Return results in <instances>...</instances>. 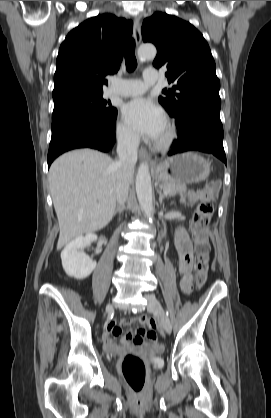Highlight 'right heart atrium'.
<instances>
[{
    "label": "right heart atrium",
    "mask_w": 271,
    "mask_h": 418,
    "mask_svg": "<svg viewBox=\"0 0 271 418\" xmlns=\"http://www.w3.org/2000/svg\"><path fill=\"white\" fill-rule=\"evenodd\" d=\"M116 138L119 145L125 150H134L139 143L138 135L128 127L123 121L116 124Z\"/></svg>",
    "instance_id": "right-heart-atrium-1"
}]
</instances>
